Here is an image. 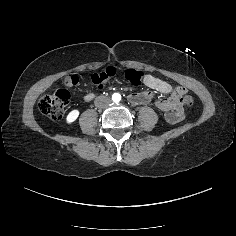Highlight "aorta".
Listing matches in <instances>:
<instances>
[{
  "label": "aorta",
  "mask_w": 236,
  "mask_h": 236,
  "mask_svg": "<svg viewBox=\"0 0 236 236\" xmlns=\"http://www.w3.org/2000/svg\"><path fill=\"white\" fill-rule=\"evenodd\" d=\"M112 100H113V102H115V103L119 102V101L121 100V95H120L119 93H114V94L112 95Z\"/></svg>",
  "instance_id": "obj_1"
}]
</instances>
